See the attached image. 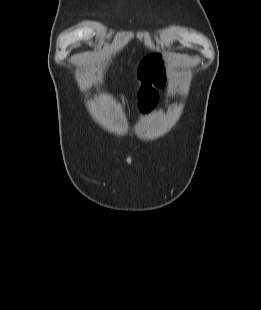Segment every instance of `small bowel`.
Listing matches in <instances>:
<instances>
[{"label": "small bowel", "instance_id": "small-bowel-1", "mask_svg": "<svg viewBox=\"0 0 261 310\" xmlns=\"http://www.w3.org/2000/svg\"><path fill=\"white\" fill-rule=\"evenodd\" d=\"M142 87L140 101L144 109L151 107L156 99L158 90L166 85L165 71L161 59L157 56L143 62L140 69Z\"/></svg>", "mask_w": 261, "mask_h": 310}]
</instances>
